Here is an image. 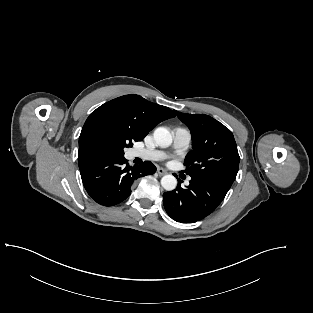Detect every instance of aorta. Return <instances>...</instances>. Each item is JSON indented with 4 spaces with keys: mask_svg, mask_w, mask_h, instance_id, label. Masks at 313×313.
<instances>
[{
    "mask_svg": "<svg viewBox=\"0 0 313 313\" xmlns=\"http://www.w3.org/2000/svg\"><path fill=\"white\" fill-rule=\"evenodd\" d=\"M157 145L162 148L168 147L172 143L171 133L164 127H158L153 134ZM162 187L167 191H172L177 186V179L173 175H165L161 179Z\"/></svg>",
    "mask_w": 313,
    "mask_h": 313,
    "instance_id": "obj_1",
    "label": "aorta"
}]
</instances>
